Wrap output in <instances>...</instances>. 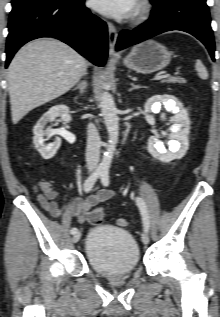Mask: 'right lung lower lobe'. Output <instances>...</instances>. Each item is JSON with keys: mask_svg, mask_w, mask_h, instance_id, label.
Segmentation results:
<instances>
[{"mask_svg": "<svg viewBox=\"0 0 220 317\" xmlns=\"http://www.w3.org/2000/svg\"><path fill=\"white\" fill-rule=\"evenodd\" d=\"M8 28L6 67L22 45L40 37L57 38L95 65L105 64L107 26L84 6V0L36 2L13 8Z\"/></svg>", "mask_w": 220, "mask_h": 317, "instance_id": "obj_1", "label": "right lung lower lobe"}]
</instances>
